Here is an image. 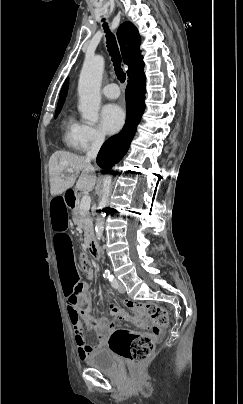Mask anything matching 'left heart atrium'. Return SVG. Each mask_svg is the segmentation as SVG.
<instances>
[{"label": "left heart atrium", "mask_w": 243, "mask_h": 404, "mask_svg": "<svg viewBox=\"0 0 243 404\" xmlns=\"http://www.w3.org/2000/svg\"><path fill=\"white\" fill-rule=\"evenodd\" d=\"M125 113L116 103L104 105L100 111V128L106 134L117 132L124 124Z\"/></svg>", "instance_id": "1"}]
</instances>
